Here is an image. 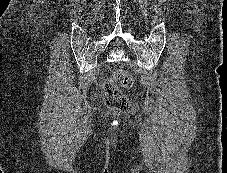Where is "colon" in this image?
Wrapping results in <instances>:
<instances>
[{
  "label": "colon",
  "mask_w": 227,
  "mask_h": 173,
  "mask_svg": "<svg viewBox=\"0 0 227 173\" xmlns=\"http://www.w3.org/2000/svg\"><path fill=\"white\" fill-rule=\"evenodd\" d=\"M113 78L114 82H108L104 85L106 103L110 106L124 110L128 107V101L119 87H132V75L126 70H116L113 74Z\"/></svg>",
  "instance_id": "5ec220e1"
}]
</instances>
